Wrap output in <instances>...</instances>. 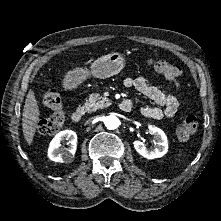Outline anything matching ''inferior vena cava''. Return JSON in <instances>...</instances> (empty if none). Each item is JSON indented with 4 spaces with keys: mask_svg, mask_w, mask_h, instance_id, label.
Returning <instances> with one entry per match:
<instances>
[{
    "mask_svg": "<svg viewBox=\"0 0 221 221\" xmlns=\"http://www.w3.org/2000/svg\"><path fill=\"white\" fill-rule=\"evenodd\" d=\"M92 120V118L91 119H89L87 122H90Z\"/></svg>",
    "mask_w": 221,
    "mask_h": 221,
    "instance_id": "obj_1",
    "label": "inferior vena cava"
}]
</instances>
